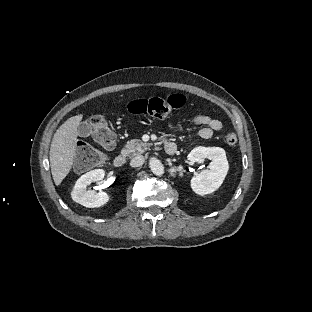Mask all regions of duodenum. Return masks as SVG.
I'll return each instance as SVG.
<instances>
[{"label":"duodenum","mask_w":312,"mask_h":312,"mask_svg":"<svg viewBox=\"0 0 312 312\" xmlns=\"http://www.w3.org/2000/svg\"><path fill=\"white\" fill-rule=\"evenodd\" d=\"M163 150L169 155H174L177 153V146L172 142H165L163 144ZM126 161H127V153L123 151L114 158L113 163L115 167L122 168L125 166Z\"/></svg>","instance_id":"obj_1"}]
</instances>
